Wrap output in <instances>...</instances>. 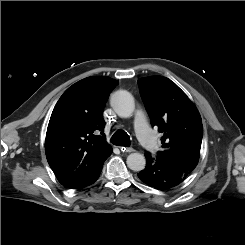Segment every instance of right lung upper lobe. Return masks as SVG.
I'll return each instance as SVG.
<instances>
[{
  "mask_svg": "<svg viewBox=\"0 0 245 245\" xmlns=\"http://www.w3.org/2000/svg\"><path fill=\"white\" fill-rule=\"evenodd\" d=\"M118 84L105 76L69 87L56 103L45 140L47 161L59 182L71 187L112 154L104 134L103 109Z\"/></svg>",
  "mask_w": 245,
  "mask_h": 245,
  "instance_id": "right-lung-upper-lobe-1",
  "label": "right lung upper lobe"
}]
</instances>
